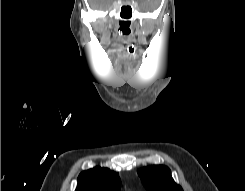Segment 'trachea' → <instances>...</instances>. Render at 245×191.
Listing matches in <instances>:
<instances>
[{
    "label": "trachea",
    "instance_id": "1",
    "mask_svg": "<svg viewBox=\"0 0 245 191\" xmlns=\"http://www.w3.org/2000/svg\"><path fill=\"white\" fill-rule=\"evenodd\" d=\"M129 54H130V55H133V54H134V49L130 48V49H129Z\"/></svg>",
    "mask_w": 245,
    "mask_h": 191
}]
</instances>
